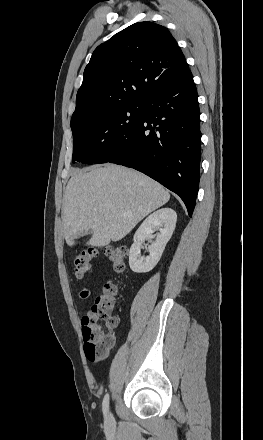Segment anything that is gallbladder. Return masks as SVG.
Here are the masks:
<instances>
[{"mask_svg":"<svg viewBox=\"0 0 263 440\" xmlns=\"http://www.w3.org/2000/svg\"><path fill=\"white\" fill-rule=\"evenodd\" d=\"M91 233H92L91 230L83 231V232H81L77 237L85 236V235H88V234H91ZM77 237H76V238H77Z\"/></svg>","mask_w":263,"mask_h":440,"instance_id":"gallbladder-1","label":"gallbladder"}]
</instances>
